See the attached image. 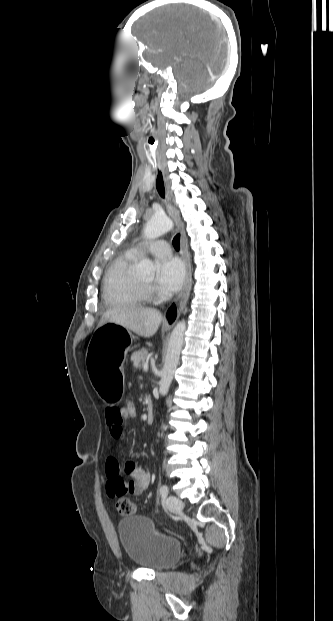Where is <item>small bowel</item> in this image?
I'll use <instances>...</instances> for the list:
<instances>
[{
	"instance_id": "1",
	"label": "small bowel",
	"mask_w": 333,
	"mask_h": 621,
	"mask_svg": "<svg viewBox=\"0 0 333 621\" xmlns=\"http://www.w3.org/2000/svg\"><path fill=\"white\" fill-rule=\"evenodd\" d=\"M125 418L119 406H109L105 410V421L110 436L114 439H121L123 436V422ZM107 484L106 491L110 498H122L126 495H139L149 486L150 475L143 468L139 467L134 460H129L121 467L115 457H108L106 460ZM127 474L130 479L125 480L121 474Z\"/></svg>"
}]
</instances>
